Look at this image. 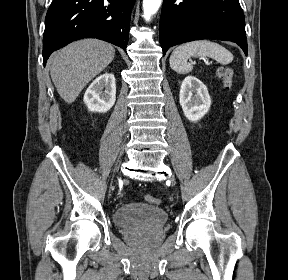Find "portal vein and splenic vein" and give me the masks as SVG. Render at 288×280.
<instances>
[{
    "instance_id": "portal-vein-and-splenic-vein-1",
    "label": "portal vein and splenic vein",
    "mask_w": 288,
    "mask_h": 280,
    "mask_svg": "<svg viewBox=\"0 0 288 280\" xmlns=\"http://www.w3.org/2000/svg\"><path fill=\"white\" fill-rule=\"evenodd\" d=\"M206 65H209V62L205 60Z\"/></svg>"
}]
</instances>
